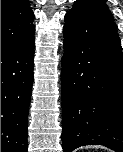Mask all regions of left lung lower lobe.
Here are the masks:
<instances>
[{
    "mask_svg": "<svg viewBox=\"0 0 123 152\" xmlns=\"http://www.w3.org/2000/svg\"><path fill=\"white\" fill-rule=\"evenodd\" d=\"M63 35V151L98 144L123 152V61L113 19L78 4L65 15Z\"/></svg>",
    "mask_w": 123,
    "mask_h": 152,
    "instance_id": "1",
    "label": "left lung lower lobe"
}]
</instances>
